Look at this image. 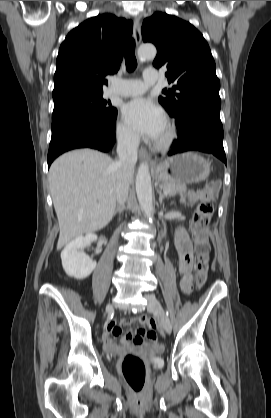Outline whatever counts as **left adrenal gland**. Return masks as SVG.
Listing matches in <instances>:
<instances>
[{
	"instance_id": "obj_1",
	"label": "left adrenal gland",
	"mask_w": 271,
	"mask_h": 418,
	"mask_svg": "<svg viewBox=\"0 0 271 418\" xmlns=\"http://www.w3.org/2000/svg\"><path fill=\"white\" fill-rule=\"evenodd\" d=\"M157 192L159 194V203L162 204L163 199H164V195L159 190Z\"/></svg>"
}]
</instances>
